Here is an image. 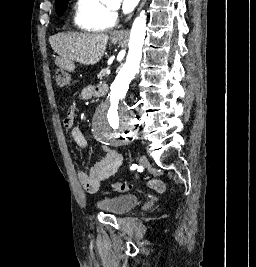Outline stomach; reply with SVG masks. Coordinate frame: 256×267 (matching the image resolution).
Here are the masks:
<instances>
[{"instance_id": "0dacf381", "label": "stomach", "mask_w": 256, "mask_h": 267, "mask_svg": "<svg viewBox=\"0 0 256 267\" xmlns=\"http://www.w3.org/2000/svg\"><path fill=\"white\" fill-rule=\"evenodd\" d=\"M53 67H74V62H53Z\"/></svg>"}]
</instances>
